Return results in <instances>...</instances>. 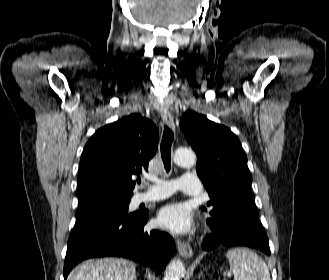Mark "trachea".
Listing matches in <instances>:
<instances>
[{
    "mask_svg": "<svg viewBox=\"0 0 329 280\" xmlns=\"http://www.w3.org/2000/svg\"><path fill=\"white\" fill-rule=\"evenodd\" d=\"M173 139H174V134L172 130L169 127L165 126L163 132V138L160 145V150H161V158L163 160L164 167L167 172L170 170L171 167V146ZM137 182L141 183V180L139 179L137 180Z\"/></svg>",
    "mask_w": 329,
    "mask_h": 280,
    "instance_id": "trachea-1",
    "label": "trachea"
}]
</instances>
